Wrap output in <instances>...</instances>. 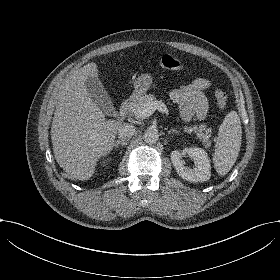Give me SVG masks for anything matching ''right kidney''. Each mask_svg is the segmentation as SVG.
<instances>
[{"label":"right kidney","instance_id":"obj_1","mask_svg":"<svg viewBox=\"0 0 280 280\" xmlns=\"http://www.w3.org/2000/svg\"><path fill=\"white\" fill-rule=\"evenodd\" d=\"M102 164H103V166H105V164H106V161H103V162H102Z\"/></svg>","mask_w":280,"mask_h":280}]
</instances>
